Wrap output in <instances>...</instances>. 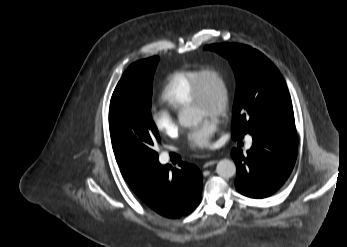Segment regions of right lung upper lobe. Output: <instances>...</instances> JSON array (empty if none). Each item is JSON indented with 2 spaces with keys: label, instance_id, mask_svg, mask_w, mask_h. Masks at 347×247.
I'll list each match as a JSON object with an SVG mask.
<instances>
[{
  "label": "right lung upper lobe",
  "instance_id": "1",
  "mask_svg": "<svg viewBox=\"0 0 347 247\" xmlns=\"http://www.w3.org/2000/svg\"><path fill=\"white\" fill-rule=\"evenodd\" d=\"M114 150L116 161L120 166L121 173L125 180L128 182L129 186L135 193L142 191L145 186L148 178L153 173V168H148L140 165L136 161L126 157L122 153Z\"/></svg>",
  "mask_w": 347,
  "mask_h": 247
}]
</instances>
